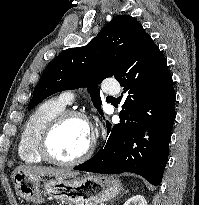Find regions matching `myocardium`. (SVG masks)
I'll return each instance as SVG.
<instances>
[{
	"label": "myocardium",
	"instance_id": "myocardium-1",
	"mask_svg": "<svg viewBox=\"0 0 199 205\" xmlns=\"http://www.w3.org/2000/svg\"><path fill=\"white\" fill-rule=\"evenodd\" d=\"M71 118H77L82 120L91 130V140L87 148L78 156L72 159H61L55 156L51 150V138L55 130L66 120ZM95 149V136L92 132L91 124L88 117L77 110H63L55 115L40 131L37 141V151L41 158L51 164L58 166H72L81 163L88 159Z\"/></svg>",
	"mask_w": 199,
	"mask_h": 205
}]
</instances>
